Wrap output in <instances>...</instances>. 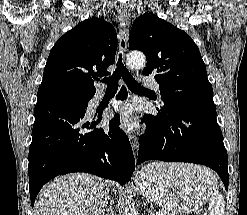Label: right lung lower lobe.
Instances as JSON below:
<instances>
[{
  "label": "right lung lower lobe",
  "mask_w": 247,
  "mask_h": 215,
  "mask_svg": "<svg viewBox=\"0 0 247 215\" xmlns=\"http://www.w3.org/2000/svg\"><path fill=\"white\" fill-rule=\"evenodd\" d=\"M92 97L77 101L48 88L38 89L28 165L32 207L42 186L66 173H92L121 185L131 179L135 160L129 139L119 128V115L109 128H96L98 121L86 113ZM126 97L122 87L117 99Z\"/></svg>",
  "instance_id": "obj_1"
}]
</instances>
